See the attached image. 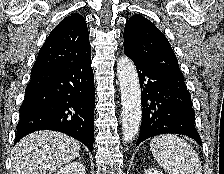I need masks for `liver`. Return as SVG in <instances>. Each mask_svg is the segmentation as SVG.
I'll list each match as a JSON object with an SVG mask.
<instances>
[{
    "label": "liver",
    "mask_w": 224,
    "mask_h": 174,
    "mask_svg": "<svg viewBox=\"0 0 224 174\" xmlns=\"http://www.w3.org/2000/svg\"><path fill=\"white\" fill-rule=\"evenodd\" d=\"M80 143L56 131H36L12 150L10 174H52L79 155Z\"/></svg>",
    "instance_id": "1"
}]
</instances>
